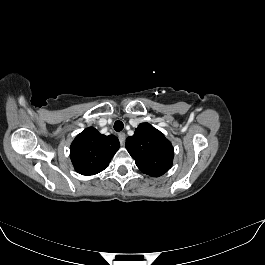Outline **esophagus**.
Listing matches in <instances>:
<instances>
[{
	"label": "esophagus",
	"instance_id": "esophagus-1",
	"mask_svg": "<svg viewBox=\"0 0 265 265\" xmlns=\"http://www.w3.org/2000/svg\"><path fill=\"white\" fill-rule=\"evenodd\" d=\"M118 139H119L121 145H124V143H125V139H126V134L123 133V132L119 133V134H118Z\"/></svg>",
	"mask_w": 265,
	"mask_h": 265
}]
</instances>
